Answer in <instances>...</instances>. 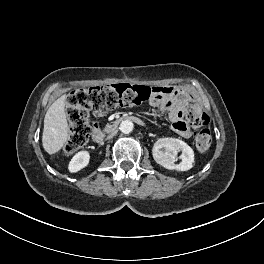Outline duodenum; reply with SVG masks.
Returning <instances> with one entry per match:
<instances>
[{
    "label": "duodenum",
    "mask_w": 264,
    "mask_h": 264,
    "mask_svg": "<svg viewBox=\"0 0 264 264\" xmlns=\"http://www.w3.org/2000/svg\"><path fill=\"white\" fill-rule=\"evenodd\" d=\"M123 121H132L137 124L143 125V121L139 119L138 117L126 115L121 118L114 119L106 124L104 129L102 131H96L93 135V139L96 143H102L104 141V138L107 134L113 133V130H117L120 123Z\"/></svg>",
    "instance_id": "obj_1"
}]
</instances>
